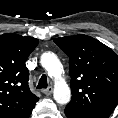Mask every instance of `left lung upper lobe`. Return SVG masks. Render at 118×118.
Masks as SVG:
<instances>
[{"label":"left lung upper lobe","instance_id":"1","mask_svg":"<svg viewBox=\"0 0 118 118\" xmlns=\"http://www.w3.org/2000/svg\"><path fill=\"white\" fill-rule=\"evenodd\" d=\"M54 42L69 57L72 99L65 110L108 118L118 104V56L87 35L56 38Z\"/></svg>","mask_w":118,"mask_h":118}]
</instances>
